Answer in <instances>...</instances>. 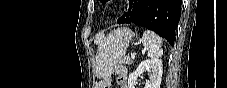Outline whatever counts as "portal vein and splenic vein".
I'll use <instances>...</instances> for the list:
<instances>
[{"label": "portal vein and splenic vein", "instance_id": "portal-vein-and-splenic-vein-1", "mask_svg": "<svg viewBox=\"0 0 227 88\" xmlns=\"http://www.w3.org/2000/svg\"><path fill=\"white\" fill-rule=\"evenodd\" d=\"M131 58L134 59L135 58V53L131 54Z\"/></svg>", "mask_w": 227, "mask_h": 88}]
</instances>
